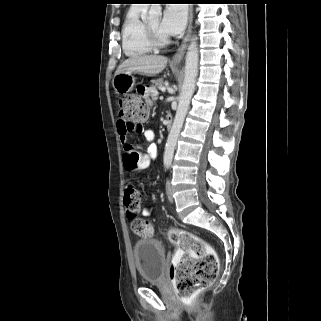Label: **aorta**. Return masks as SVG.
Returning a JSON list of instances; mask_svg holds the SVG:
<instances>
[{"label": "aorta", "mask_w": 321, "mask_h": 321, "mask_svg": "<svg viewBox=\"0 0 321 321\" xmlns=\"http://www.w3.org/2000/svg\"><path fill=\"white\" fill-rule=\"evenodd\" d=\"M160 4H151L148 11L150 18L160 17L162 12ZM199 52L196 37H192L186 53L185 76L181 93L178 100V108L174 122L168 135L164 152V163L170 164L173 159L174 150L180 130L183 126L192 95L195 90L196 77L198 75Z\"/></svg>", "instance_id": "1"}]
</instances>
